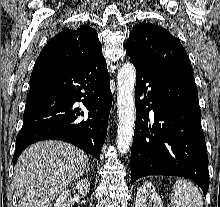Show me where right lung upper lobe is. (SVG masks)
<instances>
[{
    "instance_id": "cb5924a9",
    "label": "right lung upper lobe",
    "mask_w": 220,
    "mask_h": 207,
    "mask_svg": "<svg viewBox=\"0 0 220 207\" xmlns=\"http://www.w3.org/2000/svg\"><path fill=\"white\" fill-rule=\"evenodd\" d=\"M102 55L97 32L89 26L65 29L50 39L38 56L34 68L73 69Z\"/></svg>"
}]
</instances>
